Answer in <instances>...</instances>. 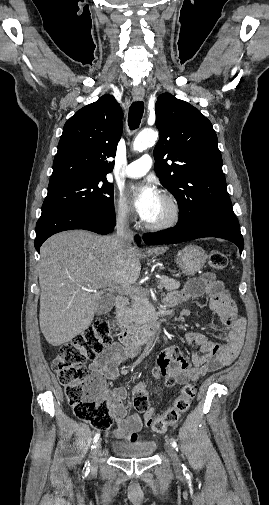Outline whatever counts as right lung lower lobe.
Here are the masks:
<instances>
[{"label": "right lung lower lobe", "instance_id": "1", "mask_svg": "<svg viewBox=\"0 0 269 505\" xmlns=\"http://www.w3.org/2000/svg\"><path fill=\"white\" fill-rule=\"evenodd\" d=\"M116 221L109 222L88 212L72 207H56L42 211L36 224L35 248L39 252L42 243L51 235L71 229H85L106 235L115 228ZM135 240L140 243V237Z\"/></svg>", "mask_w": 269, "mask_h": 505}]
</instances>
